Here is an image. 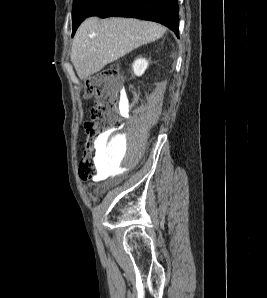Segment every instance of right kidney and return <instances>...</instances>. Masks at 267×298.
I'll return each instance as SVG.
<instances>
[{"label": "right kidney", "instance_id": "1", "mask_svg": "<svg viewBox=\"0 0 267 298\" xmlns=\"http://www.w3.org/2000/svg\"><path fill=\"white\" fill-rule=\"evenodd\" d=\"M148 67V61L145 58H138L134 61L132 68L136 76H141Z\"/></svg>", "mask_w": 267, "mask_h": 298}]
</instances>
